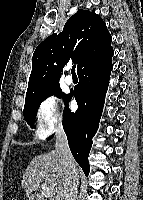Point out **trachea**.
<instances>
[{
    "mask_svg": "<svg viewBox=\"0 0 143 200\" xmlns=\"http://www.w3.org/2000/svg\"><path fill=\"white\" fill-rule=\"evenodd\" d=\"M71 73H72L73 76H76V66L72 67Z\"/></svg>",
    "mask_w": 143,
    "mask_h": 200,
    "instance_id": "1",
    "label": "trachea"
}]
</instances>
